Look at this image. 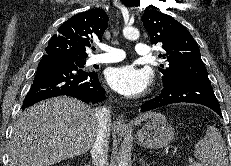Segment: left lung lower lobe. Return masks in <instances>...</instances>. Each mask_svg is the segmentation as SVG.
Segmentation results:
<instances>
[{
	"label": "left lung lower lobe",
	"instance_id": "left-lung-lower-lobe-1",
	"mask_svg": "<svg viewBox=\"0 0 231 166\" xmlns=\"http://www.w3.org/2000/svg\"><path fill=\"white\" fill-rule=\"evenodd\" d=\"M161 94L141 106L146 112L172 103H197L207 106L222 117L217 98L209 80L178 79L164 85Z\"/></svg>",
	"mask_w": 231,
	"mask_h": 166
}]
</instances>
